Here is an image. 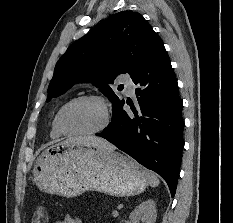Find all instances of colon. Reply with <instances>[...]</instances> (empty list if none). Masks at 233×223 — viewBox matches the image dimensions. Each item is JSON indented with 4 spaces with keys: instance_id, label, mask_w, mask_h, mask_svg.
<instances>
[{
    "instance_id": "5ec220e1",
    "label": "colon",
    "mask_w": 233,
    "mask_h": 223,
    "mask_svg": "<svg viewBox=\"0 0 233 223\" xmlns=\"http://www.w3.org/2000/svg\"><path fill=\"white\" fill-rule=\"evenodd\" d=\"M44 222H45L44 212L43 209H40V211L36 213V218L34 223H44Z\"/></svg>"
}]
</instances>
